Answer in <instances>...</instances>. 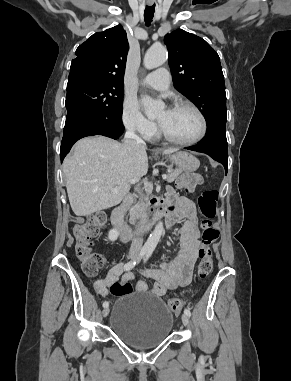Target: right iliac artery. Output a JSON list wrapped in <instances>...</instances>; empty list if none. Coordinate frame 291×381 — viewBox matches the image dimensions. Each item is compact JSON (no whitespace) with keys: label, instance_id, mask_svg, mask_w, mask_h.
Instances as JSON below:
<instances>
[{"label":"right iliac artery","instance_id":"right-iliac-artery-1","mask_svg":"<svg viewBox=\"0 0 291 381\" xmlns=\"http://www.w3.org/2000/svg\"><path fill=\"white\" fill-rule=\"evenodd\" d=\"M147 253V250L145 249H142L139 253V255L137 256V258L127 262L125 265H124V270L126 271H129L131 269H133L139 262L140 260L144 257V255ZM109 306V303L107 301L103 302V307H108Z\"/></svg>","mask_w":291,"mask_h":381}]
</instances>
